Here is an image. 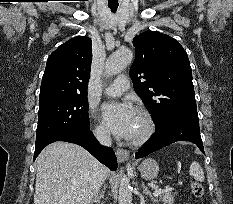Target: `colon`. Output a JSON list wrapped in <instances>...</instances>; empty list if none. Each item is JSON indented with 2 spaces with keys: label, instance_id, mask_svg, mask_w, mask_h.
<instances>
[{
  "label": "colon",
  "instance_id": "5ec220e1",
  "mask_svg": "<svg viewBox=\"0 0 233 204\" xmlns=\"http://www.w3.org/2000/svg\"><path fill=\"white\" fill-rule=\"evenodd\" d=\"M190 188H191L192 194L196 198H201L203 196V194H204V188H203V185L201 183L192 180L190 182Z\"/></svg>",
  "mask_w": 233,
  "mask_h": 204
}]
</instances>
